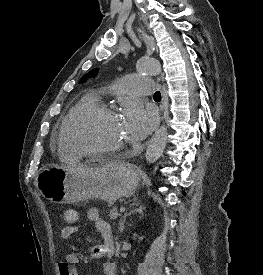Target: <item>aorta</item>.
I'll list each match as a JSON object with an SVG mask.
<instances>
[{"label": "aorta", "mask_w": 263, "mask_h": 275, "mask_svg": "<svg viewBox=\"0 0 263 275\" xmlns=\"http://www.w3.org/2000/svg\"><path fill=\"white\" fill-rule=\"evenodd\" d=\"M137 69L141 73L159 74L161 72L160 63L155 59H141L137 64ZM168 138L166 126L158 128L150 139L145 158L147 163H155L163 154Z\"/></svg>", "instance_id": "obj_1"}]
</instances>
